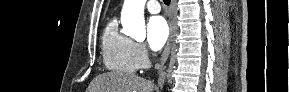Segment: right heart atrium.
I'll use <instances>...</instances> for the list:
<instances>
[{
    "mask_svg": "<svg viewBox=\"0 0 289 92\" xmlns=\"http://www.w3.org/2000/svg\"><path fill=\"white\" fill-rule=\"evenodd\" d=\"M132 53L137 68H145L149 64V53L143 43L133 42Z\"/></svg>",
    "mask_w": 289,
    "mask_h": 92,
    "instance_id": "obj_1",
    "label": "right heart atrium"
}]
</instances>
